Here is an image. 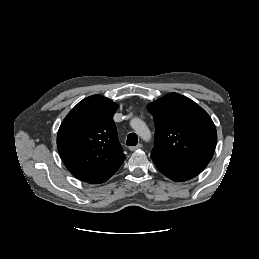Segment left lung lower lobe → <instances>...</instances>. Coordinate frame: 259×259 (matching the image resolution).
<instances>
[{
  "label": "left lung lower lobe",
  "instance_id": "left-lung-lower-lobe-1",
  "mask_svg": "<svg viewBox=\"0 0 259 259\" xmlns=\"http://www.w3.org/2000/svg\"><path fill=\"white\" fill-rule=\"evenodd\" d=\"M151 158L157 169L171 180L182 182L201 173L208 163L203 161H183L152 152Z\"/></svg>",
  "mask_w": 259,
  "mask_h": 259
}]
</instances>
